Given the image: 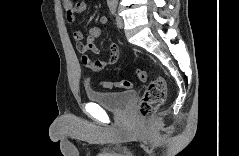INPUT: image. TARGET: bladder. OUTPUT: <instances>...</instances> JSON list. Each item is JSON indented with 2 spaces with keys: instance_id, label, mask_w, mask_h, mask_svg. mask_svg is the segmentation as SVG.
<instances>
[{
  "instance_id": "bladder-1",
  "label": "bladder",
  "mask_w": 239,
  "mask_h": 156,
  "mask_svg": "<svg viewBox=\"0 0 239 156\" xmlns=\"http://www.w3.org/2000/svg\"><path fill=\"white\" fill-rule=\"evenodd\" d=\"M135 96L134 91L106 92L91 88L86 89V98L106 110L114 112L124 111L132 102Z\"/></svg>"
}]
</instances>
